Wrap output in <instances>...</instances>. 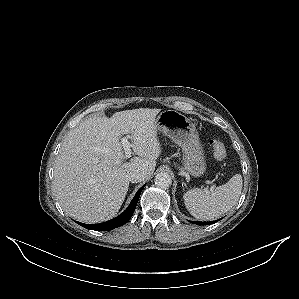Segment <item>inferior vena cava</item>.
<instances>
[{
    "mask_svg": "<svg viewBox=\"0 0 299 299\" xmlns=\"http://www.w3.org/2000/svg\"><path fill=\"white\" fill-rule=\"evenodd\" d=\"M144 178H145V172L140 169L133 170L128 174V180L132 183L141 182L144 180Z\"/></svg>",
    "mask_w": 299,
    "mask_h": 299,
    "instance_id": "inferior-vena-cava-1",
    "label": "inferior vena cava"
}]
</instances>
